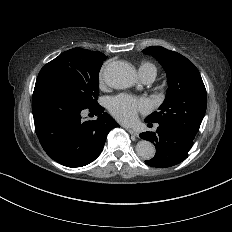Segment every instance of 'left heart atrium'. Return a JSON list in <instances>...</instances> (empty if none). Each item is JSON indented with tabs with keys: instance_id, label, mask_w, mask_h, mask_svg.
<instances>
[{
	"instance_id": "1",
	"label": "left heart atrium",
	"mask_w": 232,
	"mask_h": 232,
	"mask_svg": "<svg viewBox=\"0 0 232 232\" xmlns=\"http://www.w3.org/2000/svg\"><path fill=\"white\" fill-rule=\"evenodd\" d=\"M148 103L144 99H136L127 95L113 97L109 104L110 112L122 123L135 121L138 112H146Z\"/></svg>"
}]
</instances>
